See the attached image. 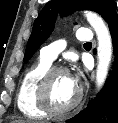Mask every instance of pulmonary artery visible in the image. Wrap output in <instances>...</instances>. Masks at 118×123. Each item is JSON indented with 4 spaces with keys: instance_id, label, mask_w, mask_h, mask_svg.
Here are the masks:
<instances>
[{
    "instance_id": "e3ab8cb5",
    "label": "pulmonary artery",
    "mask_w": 118,
    "mask_h": 123,
    "mask_svg": "<svg viewBox=\"0 0 118 123\" xmlns=\"http://www.w3.org/2000/svg\"><path fill=\"white\" fill-rule=\"evenodd\" d=\"M76 38L79 41H89L92 38L91 30L89 28H80L76 33ZM66 43L64 40L56 41L41 49L40 55L46 61L53 62L58 54L65 48Z\"/></svg>"
}]
</instances>
